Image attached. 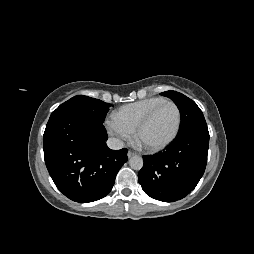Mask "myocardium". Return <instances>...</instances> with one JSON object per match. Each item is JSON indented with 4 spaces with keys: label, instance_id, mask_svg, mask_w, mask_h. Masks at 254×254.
Masks as SVG:
<instances>
[{
    "label": "myocardium",
    "instance_id": "f54148a6",
    "mask_svg": "<svg viewBox=\"0 0 254 254\" xmlns=\"http://www.w3.org/2000/svg\"><path fill=\"white\" fill-rule=\"evenodd\" d=\"M165 104L173 105L176 109V112H177V122H176V126H175V129H174L172 135L165 142H163L162 144H159L157 146L144 145L140 141V134H141L142 130L149 124V122L152 120V118L157 113V111ZM180 127H181V110H180L178 104L176 102H174L173 100L165 99L164 101L160 102L155 107H153L145 115V117L139 122V124L137 125V127L135 129V135H136L137 140L143 145V147L147 151L156 153V152L164 150L165 148H167L170 144H172L174 142V140L177 138V136L179 134Z\"/></svg>",
    "mask_w": 254,
    "mask_h": 254
}]
</instances>
